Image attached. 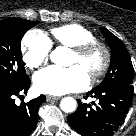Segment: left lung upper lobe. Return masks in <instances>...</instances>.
<instances>
[{
	"mask_svg": "<svg viewBox=\"0 0 136 136\" xmlns=\"http://www.w3.org/2000/svg\"><path fill=\"white\" fill-rule=\"evenodd\" d=\"M101 32L111 48V64L105 79L96 88L101 89L116 84H132L134 69L125 45L106 28L101 27Z\"/></svg>",
	"mask_w": 136,
	"mask_h": 136,
	"instance_id": "left-lung-upper-lobe-1",
	"label": "left lung upper lobe"
}]
</instances>
